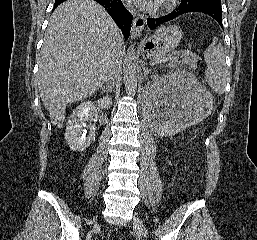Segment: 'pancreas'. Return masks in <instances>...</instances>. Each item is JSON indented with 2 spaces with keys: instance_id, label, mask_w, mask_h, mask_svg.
Returning <instances> with one entry per match:
<instances>
[{
  "instance_id": "cf45deb5",
  "label": "pancreas",
  "mask_w": 257,
  "mask_h": 240,
  "mask_svg": "<svg viewBox=\"0 0 257 240\" xmlns=\"http://www.w3.org/2000/svg\"><path fill=\"white\" fill-rule=\"evenodd\" d=\"M173 57L174 59L172 60H168L169 61V65L170 66H175V65H184L186 67H189L190 69H196V63L194 62V60H192L191 58H189L186 54H182L181 57H183L182 60L178 61V56L179 53H172L166 57Z\"/></svg>"
}]
</instances>
